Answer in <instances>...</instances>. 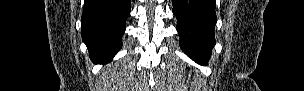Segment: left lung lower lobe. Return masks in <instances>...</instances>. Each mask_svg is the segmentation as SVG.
<instances>
[{
	"mask_svg": "<svg viewBox=\"0 0 304 91\" xmlns=\"http://www.w3.org/2000/svg\"><path fill=\"white\" fill-rule=\"evenodd\" d=\"M215 0H173L181 49L200 65H207L215 45Z\"/></svg>",
	"mask_w": 304,
	"mask_h": 91,
	"instance_id": "left-lung-lower-lobe-1",
	"label": "left lung lower lobe"
}]
</instances>
